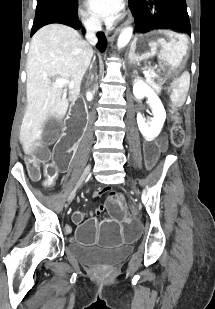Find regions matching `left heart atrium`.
Segmentation results:
<instances>
[{
    "instance_id": "left-heart-atrium-1",
    "label": "left heart atrium",
    "mask_w": 215,
    "mask_h": 309,
    "mask_svg": "<svg viewBox=\"0 0 215 309\" xmlns=\"http://www.w3.org/2000/svg\"><path fill=\"white\" fill-rule=\"evenodd\" d=\"M88 2L89 7H93V12H97L103 20H108L116 12L121 11L119 0H88Z\"/></svg>"
}]
</instances>
